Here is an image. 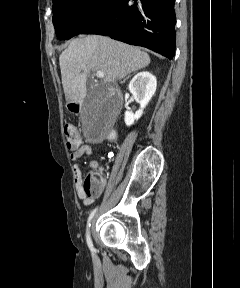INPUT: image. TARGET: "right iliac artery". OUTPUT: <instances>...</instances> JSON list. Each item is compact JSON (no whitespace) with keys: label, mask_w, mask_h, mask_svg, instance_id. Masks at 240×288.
<instances>
[{"label":"right iliac artery","mask_w":240,"mask_h":288,"mask_svg":"<svg viewBox=\"0 0 240 288\" xmlns=\"http://www.w3.org/2000/svg\"><path fill=\"white\" fill-rule=\"evenodd\" d=\"M96 211H97V208H95V209L90 213V215H89V217H88L87 229H86V242H87V245H88L89 249H90L92 252H94L95 249H94V247H93V243H92V240H91V237H90V230H89V228H90V222H91L93 216L95 215Z\"/></svg>","instance_id":"obj_1"}]
</instances>
